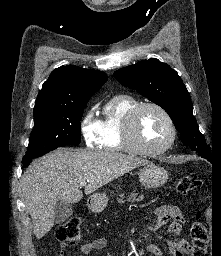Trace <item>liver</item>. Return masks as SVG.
Wrapping results in <instances>:
<instances>
[{"mask_svg": "<svg viewBox=\"0 0 221 256\" xmlns=\"http://www.w3.org/2000/svg\"><path fill=\"white\" fill-rule=\"evenodd\" d=\"M150 163L115 151H74L59 148L31 163L20 179V191L33 220L37 239L54 225L58 201L72 204L83 198L80 182L89 195L129 171Z\"/></svg>", "mask_w": 221, "mask_h": 256, "instance_id": "liver-1", "label": "liver"}]
</instances>
